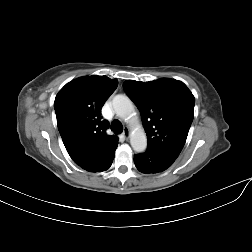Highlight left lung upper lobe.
Here are the masks:
<instances>
[{"label": "left lung upper lobe", "mask_w": 252, "mask_h": 252, "mask_svg": "<svg viewBox=\"0 0 252 252\" xmlns=\"http://www.w3.org/2000/svg\"><path fill=\"white\" fill-rule=\"evenodd\" d=\"M123 88L140 111L147 148L177 158L194 117L195 99L191 91L183 82L168 78L146 83L127 80Z\"/></svg>", "instance_id": "left-lung-upper-lobe-1"}]
</instances>
